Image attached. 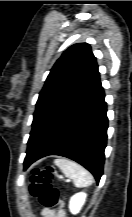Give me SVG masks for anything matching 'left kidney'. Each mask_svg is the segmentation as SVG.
Listing matches in <instances>:
<instances>
[{
  "instance_id": "obj_1",
  "label": "left kidney",
  "mask_w": 132,
  "mask_h": 217,
  "mask_svg": "<svg viewBox=\"0 0 132 217\" xmlns=\"http://www.w3.org/2000/svg\"><path fill=\"white\" fill-rule=\"evenodd\" d=\"M86 194L83 192L73 195L69 202V209L72 214H77L81 210L86 200Z\"/></svg>"
}]
</instances>
